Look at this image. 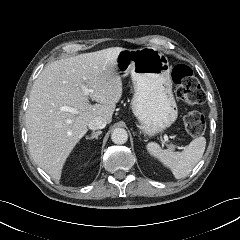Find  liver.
Wrapping results in <instances>:
<instances>
[{
	"label": "liver",
	"instance_id": "obj_1",
	"mask_svg": "<svg viewBox=\"0 0 240 240\" xmlns=\"http://www.w3.org/2000/svg\"><path fill=\"white\" fill-rule=\"evenodd\" d=\"M121 47H111L50 63L35 80L26 111L29 151L35 163L59 181L63 166L87 125L95 117L111 123L122 96L116 58ZM92 90L88 95L83 88ZM89 98L97 102L89 103ZM72 107L77 113L61 111Z\"/></svg>",
	"mask_w": 240,
	"mask_h": 240
}]
</instances>
